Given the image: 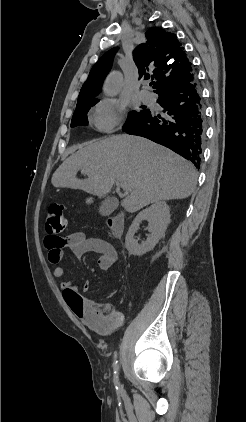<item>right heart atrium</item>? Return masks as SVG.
Listing matches in <instances>:
<instances>
[{"label":"right heart atrium","mask_w":246,"mask_h":422,"mask_svg":"<svg viewBox=\"0 0 246 422\" xmlns=\"http://www.w3.org/2000/svg\"><path fill=\"white\" fill-rule=\"evenodd\" d=\"M124 112V108L117 101L102 99L94 105L90 120L97 131L109 133L121 125Z\"/></svg>","instance_id":"d8ad5b80"}]
</instances>
